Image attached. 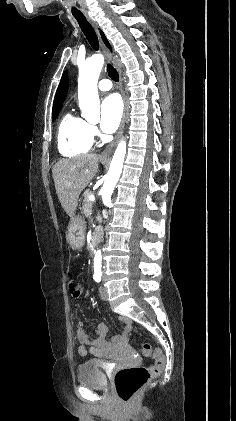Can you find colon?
Masks as SVG:
<instances>
[{"label":"colon","mask_w":236,"mask_h":421,"mask_svg":"<svg viewBox=\"0 0 236 421\" xmlns=\"http://www.w3.org/2000/svg\"><path fill=\"white\" fill-rule=\"evenodd\" d=\"M68 289L72 297L79 298L83 293L82 282L74 276L69 278ZM145 357L152 356L154 363L150 366H128L119 369L114 376V385L119 398L128 402L134 393L142 387L152 376L162 372L165 357L160 349L152 350L151 345L145 343L141 349Z\"/></svg>","instance_id":"5ec220e1"}]
</instances>
